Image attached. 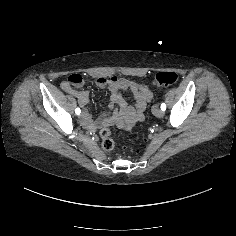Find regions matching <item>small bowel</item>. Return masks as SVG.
Wrapping results in <instances>:
<instances>
[{"instance_id": "small-bowel-1", "label": "small bowel", "mask_w": 236, "mask_h": 236, "mask_svg": "<svg viewBox=\"0 0 236 236\" xmlns=\"http://www.w3.org/2000/svg\"><path fill=\"white\" fill-rule=\"evenodd\" d=\"M104 83H105V82H103L102 79H98V80H97V84H98V85H103ZM62 88H63L66 92H68V93H70V94H72V93H78V94H80L81 96L85 97L86 100L80 101V103H81L82 105H84L85 103H87V96H88L87 92H77V91H75V90L72 88V85H71L68 81H65V82L62 83ZM143 95L145 96V103L142 105L141 110H143V109L145 108L146 102L149 101L150 98H151V94H150L147 90H144V91H143ZM86 117H89L88 114L86 115ZM86 117H85V118H86Z\"/></svg>"}]
</instances>
